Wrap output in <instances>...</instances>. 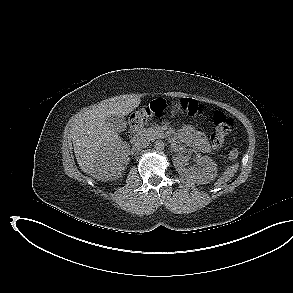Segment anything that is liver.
Instances as JSON below:
<instances>
[{
  "mask_svg": "<svg viewBox=\"0 0 293 293\" xmlns=\"http://www.w3.org/2000/svg\"><path fill=\"white\" fill-rule=\"evenodd\" d=\"M140 102L139 97L129 95L114 97L75 116L70 133L77 162L84 173L102 181L121 175L129 162L130 145L107 126L106 118L126 116Z\"/></svg>",
  "mask_w": 293,
  "mask_h": 293,
  "instance_id": "6515ba94",
  "label": "liver"
}]
</instances>
